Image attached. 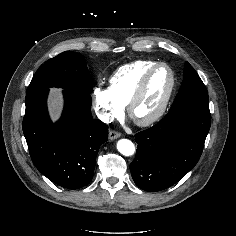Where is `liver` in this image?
I'll return each instance as SVG.
<instances>
[{"mask_svg": "<svg viewBox=\"0 0 236 236\" xmlns=\"http://www.w3.org/2000/svg\"><path fill=\"white\" fill-rule=\"evenodd\" d=\"M61 109V98L58 95V90H52V96L50 97V114L53 120H56L59 116Z\"/></svg>", "mask_w": 236, "mask_h": 236, "instance_id": "1", "label": "liver"}]
</instances>
